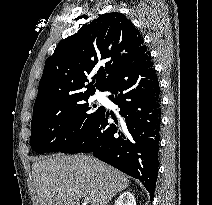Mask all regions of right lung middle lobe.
<instances>
[{"mask_svg": "<svg viewBox=\"0 0 212 205\" xmlns=\"http://www.w3.org/2000/svg\"><path fill=\"white\" fill-rule=\"evenodd\" d=\"M81 98L69 104L45 107L33 111L31 121V148L39 153L59 152L84 134L96 121L103 107L93 108Z\"/></svg>", "mask_w": 212, "mask_h": 205, "instance_id": "1", "label": "right lung middle lobe"}]
</instances>
